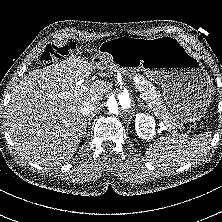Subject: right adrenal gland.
Listing matches in <instances>:
<instances>
[{"mask_svg": "<svg viewBox=\"0 0 222 222\" xmlns=\"http://www.w3.org/2000/svg\"><path fill=\"white\" fill-rule=\"evenodd\" d=\"M86 126H87V117L84 118V122H83V127L86 130Z\"/></svg>", "mask_w": 222, "mask_h": 222, "instance_id": "1", "label": "right adrenal gland"}]
</instances>
